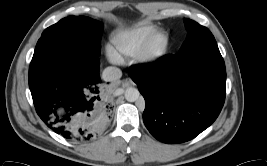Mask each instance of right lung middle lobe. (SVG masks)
<instances>
[{"instance_id": "1", "label": "right lung middle lobe", "mask_w": 267, "mask_h": 166, "mask_svg": "<svg viewBox=\"0 0 267 166\" xmlns=\"http://www.w3.org/2000/svg\"><path fill=\"white\" fill-rule=\"evenodd\" d=\"M103 24L85 16H69L44 30L42 35L67 36L100 53Z\"/></svg>"}]
</instances>
